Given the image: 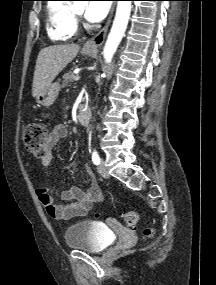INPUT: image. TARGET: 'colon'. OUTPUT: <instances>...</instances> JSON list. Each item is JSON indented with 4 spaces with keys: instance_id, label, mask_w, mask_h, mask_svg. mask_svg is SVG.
<instances>
[{
    "instance_id": "colon-1",
    "label": "colon",
    "mask_w": 216,
    "mask_h": 285,
    "mask_svg": "<svg viewBox=\"0 0 216 285\" xmlns=\"http://www.w3.org/2000/svg\"><path fill=\"white\" fill-rule=\"evenodd\" d=\"M48 133L40 123H30L26 126L23 133V143L26 150L35 158L43 160L48 154L47 147ZM125 224L129 228H135L138 223V214L135 211H127L122 214ZM146 237L154 233L152 227H147L143 231Z\"/></svg>"
}]
</instances>
